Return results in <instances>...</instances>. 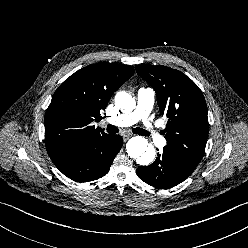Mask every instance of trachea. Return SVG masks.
Segmentation results:
<instances>
[{
    "label": "trachea",
    "mask_w": 248,
    "mask_h": 248,
    "mask_svg": "<svg viewBox=\"0 0 248 248\" xmlns=\"http://www.w3.org/2000/svg\"><path fill=\"white\" fill-rule=\"evenodd\" d=\"M106 131L109 134H115V133L118 132V128L116 126H113V125H108L107 128H106ZM133 133L139 134V135H142V136H147L148 135V133L142 128H134Z\"/></svg>",
    "instance_id": "trachea-1"
}]
</instances>
